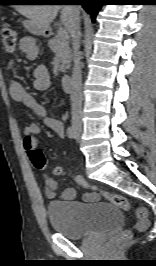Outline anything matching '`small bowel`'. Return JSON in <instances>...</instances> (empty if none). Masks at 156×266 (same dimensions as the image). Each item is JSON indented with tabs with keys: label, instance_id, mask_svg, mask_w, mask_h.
<instances>
[{
	"label": "small bowel",
	"instance_id": "c3829d8e",
	"mask_svg": "<svg viewBox=\"0 0 156 266\" xmlns=\"http://www.w3.org/2000/svg\"><path fill=\"white\" fill-rule=\"evenodd\" d=\"M20 50L26 54L29 59H34L38 53V47L34 39L31 37H23L20 41ZM13 62L9 63V68L13 67ZM34 87L37 90H46L50 86V76L48 69L41 65L34 70ZM9 94L11 98L16 101L23 103L26 107L31 109L37 116L43 118L44 123L52 129L57 136H64V124L57 119L50 118L47 116L45 107L30 93L26 91L23 85L16 79H10L9 81ZM40 132V127L34 122H29L24 127L23 147L27 154L32 150L37 149L38 139L37 134ZM29 156V155H28ZM44 186L46 194L49 198L56 196L61 200L71 201L77 196L74 188H66L59 194H57V183L54 179L45 175ZM84 199L88 202H94L99 199L98 194L90 192L84 195Z\"/></svg>",
	"mask_w": 156,
	"mask_h": 266
}]
</instances>
